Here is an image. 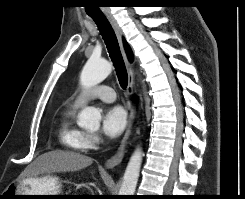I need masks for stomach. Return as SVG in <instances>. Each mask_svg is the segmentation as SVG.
I'll use <instances>...</instances> for the list:
<instances>
[{
  "label": "stomach",
  "instance_id": "stomach-1",
  "mask_svg": "<svg viewBox=\"0 0 245 199\" xmlns=\"http://www.w3.org/2000/svg\"><path fill=\"white\" fill-rule=\"evenodd\" d=\"M9 191L15 199H41L45 196H14V195H60V181L57 176L46 175L30 179H23L11 184Z\"/></svg>",
  "mask_w": 245,
  "mask_h": 199
}]
</instances>
